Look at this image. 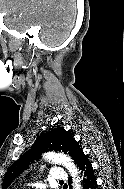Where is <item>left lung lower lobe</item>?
I'll use <instances>...</instances> for the list:
<instances>
[{"label":"left lung lower lobe","instance_id":"1","mask_svg":"<svg viewBox=\"0 0 124 189\" xmlns=\"http://www.w3.org/2000/svg\"><path fill=\"white\" fill-rule=\"evenodd\" d=\"M78 168L81 171V176L83 178V189H96L98 187L96 175L87 155L83 154L82 157L79 159Z\"/></svg>","mask_w":124,"mask_h":189}]
</instances>
